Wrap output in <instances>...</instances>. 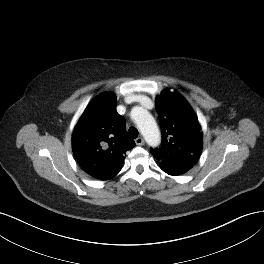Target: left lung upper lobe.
<instances>
[{
  "label": "left lung upper lobe",
  "instance_id": "1",
  "mask_svg": "<svg viewBox=\"0 0 264 264\" xmlns=\"http://www.w3.org/2000/svg\"><path fill=\"white\" fill-rule=\"evenodd\" d=\"M162 144L151 149L160 168L169 175L190 170L202 151V132L196 114L179 93L164 90L156 99Z\"/></svg>",
  "mask_w": 264,
  "mask_h": 264
}]
</instances>
